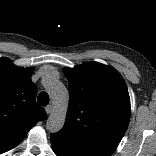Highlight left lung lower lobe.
Here are the masks:
<instances>
[{"label": "left lung lower lobe", "instance_id": "left-lung-lower-lobe-1", "mask_svg": "<svg viewBox=\"0 0 156 156\" xmlns=\"http://www.w3.org/2000/svg\"><path fill=\"white\" fill-rule=\"evenodd\" d=\"M51 146L57 156H109L99 150L76 143L59 133L51 135Z\"/></svg>", "mask_w": 156, "mask_h": 156}]
</instances>
